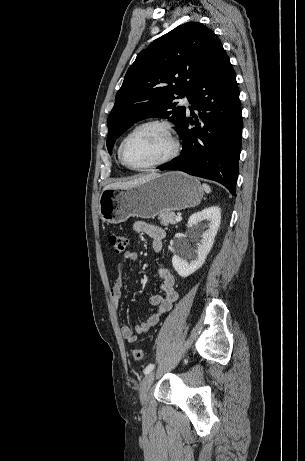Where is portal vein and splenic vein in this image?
Wrapping results in <instances>:
<instances>
[{
	"label": "portal vein and splenic vein",
	"mask_w": 305,
	"mask_h": 461,
	"mask_svg": "<svg viewBox=\"0 0 305 461\" xmlns=\"http://www.w3.org/2000/svg\"><path fill=\"white\" fill-rule=\"evenodd\" d=\"M175 220H176V221H181V220H182V217H181L180 215H178V216L175 217Z\"/></svg>",
	"instance_id": "portal-vein-and-splenic-vein-1"
}]
</instances>
